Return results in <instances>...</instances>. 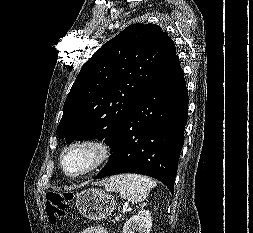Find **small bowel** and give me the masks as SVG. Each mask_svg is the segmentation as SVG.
<instances>
[{"instance_id":"1","label":"small bowel","mask_w":253,"mask_h":233,"mask_svg":"<svg viewBox=\"0 0 253 233\" xmlns=\"http://www.w3.org/2000/svg\"><path fill=\"white\" fill-rule=\"evenodd\" d=\"M80 233H108V232L104 227L95 226V227L88 228L84 231H81Z\"/></svg>"}]
</instances>
